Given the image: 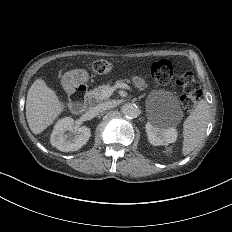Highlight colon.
Listing matches in <instances>:
<instances>
[{
	"label": "colon",
	"mask_w": 232,
	"mask_h": 232,
	"mask_svg": "<svg viewBox=\"0 0 232 232\" xmlns=\"http://www.w3.org/2000/svg\"><path fill=\"white\" fill-rule=\"evenodd\" d=\"M151 68L155 77V82H168L177 84V86H184L181 97V111H196L199 106L201 98V88L198 80L194 75L186 69L175 71L166 61L162 58H156L151 63ZM92 73H112L113 69L110 61H92L89 66Z\"/></svg>",
	"instance_id": "1"
}]
</instances>
